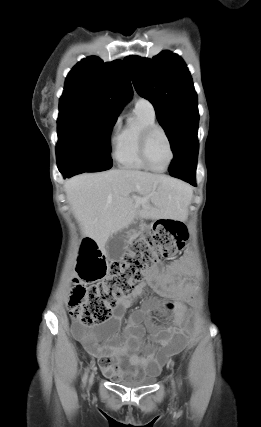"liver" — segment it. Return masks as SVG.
Here are the masks:
<instances>
[{
    "label": "liver",
    "instance_id": "liver-1",
    "mask_svg": "<svg viewBox=\"0 0 261 427\" xmlns=\"http://www.w3.org/2000/svg\"><path fill=\"white\" fill-rule=\"evenodd\" d=\"M64 188L82 234L103 253L108 239L135 219H186L192 198V189L180 180L126 169L80 174ZM135 193L147 201L137 202Z\"/></svg>",
    "mask_w": 261,
    "mask_h": 427
}]
</instances>
